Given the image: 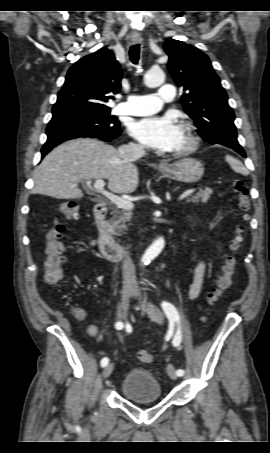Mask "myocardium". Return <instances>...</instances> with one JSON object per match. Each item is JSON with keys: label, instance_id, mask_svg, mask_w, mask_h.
I'll return each instance as SVG.
<instances>
[{"label": "myocardium", "instance_id": "1", "mask_svg": "<svg viewBox=\"0 0 270 453\" xmlns=\"http://www.w3.org/2000/svg\"><path fill=\"white\" fill-rule=\"evenodd\" d=\"M181 128L184 131L186 137V144L183 147L175 150L173 153L174 156L189 155L194 152L199 145V139L194 132L193 126L190 123H183Z\"/></svg>", "mask_w": 270, "mask_h": 453}]
</instances>
